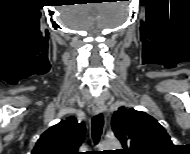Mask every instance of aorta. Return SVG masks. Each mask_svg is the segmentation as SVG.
<instances>
[{
    "mask_svg": "<svg viewBox=\"0 0 190 154\" xmlns=\"http://www.w3.org/2000/svg\"><path fill=\"white\" fill-rule=\"evenodd\" d=\"M120 142L117 139H106L100 144V149L103 150H116L120 148Z\"/></svg>",
    "mask_w": 190,
    "mask_h": 154,
    "instance_id": "762f6f07",
    "label": "aorta"
}]
</instances>
